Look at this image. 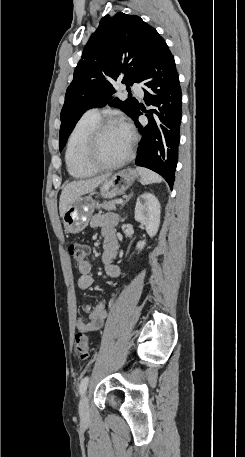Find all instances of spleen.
<instances>
[{
	"mask_svg": "<svg viewBox=\"0 0 245 457\" xmlns=\"http://www.w3.org/2000/svg\"><path fill=\"white\" fill-rule=\"evenodd\" d=\"M138 174H140L141 184H151V182H161L162 178L153 172V170H148V168H142V166H137Z\"/></svg>",
	"mask_w": 245,
	"mask_h": 457,
	"instance_id": "3e777b00",
	"label": "spleen"
}]
</instances>
